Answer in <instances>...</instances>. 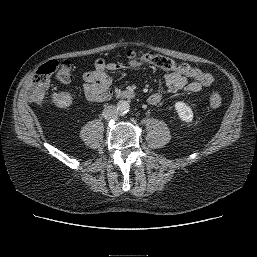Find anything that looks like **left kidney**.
Here are the masks:
<instances>
[{"label":"left kidney","mask_w":257,"mask_h":257,"mask_svg":"<svg viewBox=\"0 0 257 257\" xmlns=\"http://www.w3.org/2000/svg\"><path fill=\"white\" fill-rule=\"evenodd\" d=\"M175 110L178 113L179 118L187 123L192 122L193 120V111L187 106L184 102L178 101L175 103Z\"/></svg>","instance_id":"1"}]
</instances>
